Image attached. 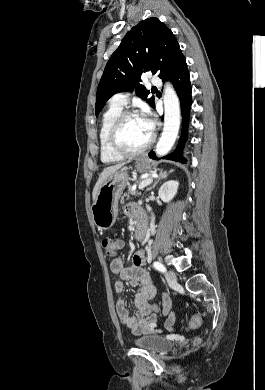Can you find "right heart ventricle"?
I'll return each instance as SVG.
<instances>
[{
	"mask_svg": "<svg viewBox=\"0 0 265 390\" xmlns=\"http://www.w3.org/2000/svg\"><path fill=\"white\" fill-rule=\"evenodd\" d=\"M122 112V107L111 104L107 110L103 113L99 128V145H100V158L103 163L110 164L123 160L124 157L116 154L109 144V132L110 129Z\"/></svg>",
	"mask_w": 265,
	"mask_h": 390,
	"instance_id": "right-heart-ventricle-1",
	"label": "right heart ventricle"
}]
</instances>
